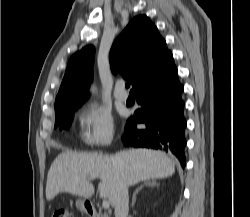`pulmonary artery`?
<instances>
[{
	"instance_id": "1",
	"label": "pulmonary artery",
	"mask_w": 250,
	"mask_h": 217,
	"mask_svg": "<svg viewBox=\"0 0 250 217\" xmlns=\"http://www.w3.org/2000/svg\"><path fill=\"white\" fill-rule=\"evenodd\" d=\"M113 94L118 101L125 102L128 99V93L125 91L124 83L122 81L117 82Z\"/></svg>"
}]
</instances>
